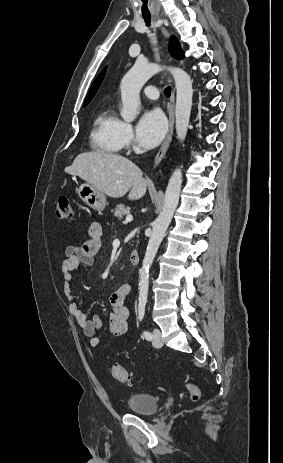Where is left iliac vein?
<instances>
[{"instance_id": "1", "label": "left iliac vein", "mask_w": 283, "mask_h": 463, "mask_svg": "<svg viewBox=\"0 0 283 463\" xmlns=\"http://www.w3.org/2000/svg\"><path fill=\"white\" fill-rule=\"evenodd\" d=\"M163 339L161 336V332L158 329L153 330V339H152V344L156 348H160L163 346Z\"/></svg>"}]
</instances>
